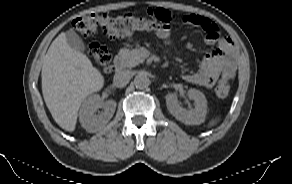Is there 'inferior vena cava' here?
Returning <instances> with one entry per match:
<instances>
[{
	"label": "inferior vena cava",
	"mask_w": 292,
	"mask_h": 184,
	"mask_svg": "<svg viewBox=\"0 0 292 184\" xmlns=\"http://www.w3.org/2000/svg\"><path fill=\"white\" fill-rule=\"evenodd\" d=\"M131 77L132 74L129 70H122L115 73L113 81L116 86L124 87L128 84Z\"/></svg>",
	"instance_id": "602c4592"
}]
</instances>
